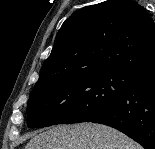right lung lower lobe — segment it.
Listing matches in <instances>:
<instances>
[{
	"label": "right lung lower lobe",
	"mask_w": 155,
	"mask_h": 149,
	"mask_svg": "<svg viewBox=\"0 0 155 149\" xmlns=\"http://www.w3.org/2000/svg\"><path fill=\"white\" fill-rule=\"evenodd\" d=\"M90 122L116 128L145 149H155V71L140 74L124 95Z\"/></svg>",
	"instance_id": "right-lung-lower-lobe-1"
}]
</instances>
